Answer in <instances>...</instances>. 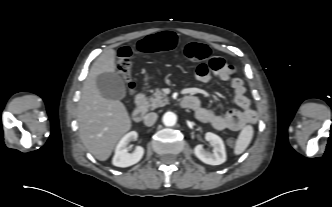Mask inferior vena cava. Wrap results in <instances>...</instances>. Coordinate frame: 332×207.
<instances>
[{
    "label": "inferior vena cava",
    "instance_id": "1",
    "mask_svg": "<svg viewBox=\"0 0 332 207\" xmlns=\"http://www.w3.org/2000/svg\"><path fill=\"white\" fill-rule=\"evenodd\" d=\"M157 117L158 115L154 112L148 113L144 118V124L146 126H152L156 122Z\"/></svg>",
    "mask_w": 332,
    "mask_h": 207
}]
</instances>
